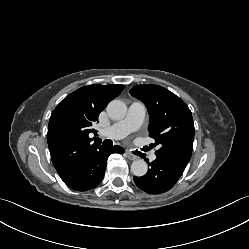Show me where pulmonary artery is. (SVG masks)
<instances>
[{
    "label": "pulmonary artery",
    "mask_w": 249,
    "mask_h": 249,
    "mask_svg": "<svg viewBox=\"0 0 249 249\" xmlns=\"http://www.w3.org/2000/svg\"><path fill=\"white\" fill-rule=\"evenodd\" d=\"M146 116V108L141 102H133L127 111L126 116L110 126L109 128L103 129L101 135L112 139H121L131 132L136 131L141 127ZM156 154L150 155V160L154 161Z\"/></svg>",
    "instance_id": "pulmonary-artery-1"
}]
</instances>
